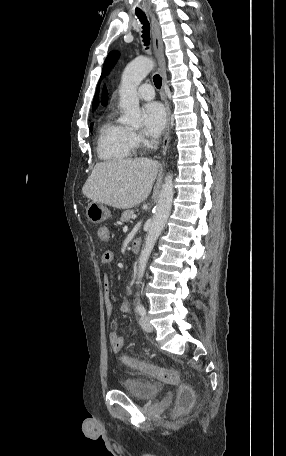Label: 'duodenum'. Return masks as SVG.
<instances>
[{
    "label": "duodenum",
    "instance_id": "duodenum-1",
    "mask_svg": "<svg viewBox=\"0 0 286 456\" xmlns=\"http://www.w3.org/2000/svg\"><path fill=\"white\" fill-rule=\"evenodd\" d=\"M140 248H141V240L140 239H135L132 242V244H131V250L134 253H138L140 251Z\"/></svg>",
    "mask_w": 286,
    "mask_h": 456
}]
</instances>
